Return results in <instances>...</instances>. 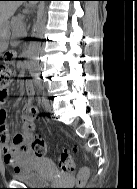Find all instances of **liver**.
<instances>
[{
    "label": "liver",
    "instance_id": "6515ba94",
    "mask_svg": "<svg viewBox=\"0 0 137 189\" xmlns=\"http://www.w3.org/2000/svg\"><path fill=\"white\" fill-rule=\"evenodd\" d=\"M21 1H0V29L7 23L8 19L13 16Z\"/></svg>",
    "mask_w": 137,
    "mask_h": 189
}]
</instances>
